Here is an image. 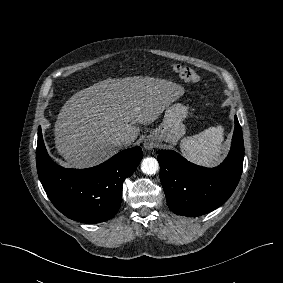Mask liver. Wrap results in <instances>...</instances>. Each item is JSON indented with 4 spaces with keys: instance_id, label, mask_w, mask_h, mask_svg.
<instances>
[{
    "instance_id": "6515ba94",
    "label": "liver",
    "mask_w": 283,
    "mask_h": 283,
    "mask_svg": "<svg viewBox=\"0 0 283 283\" xmlns=\"http://www.w3.org/2000/svg\"><path fill=\"white\" fill-rule=\"evenodd\" d=\"M184 94L180 85L153 77L108 78L75 93L61 108L55 123V144L66 167L100 164L138 137L139 124L154 122ZM127 136L118 145L115 139Z\"/></svg>"
}]
</instances>
